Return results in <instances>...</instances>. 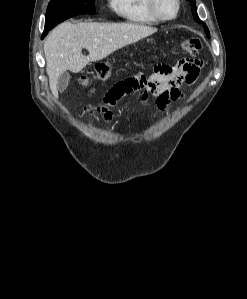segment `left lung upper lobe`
I'll list each match as a JSON object with an SVG mask.
<instances>
[{"mask_svg":"<svg viewBox=\"0 0 247 299\" xmlns=\"http://www.w3.org/2000/svg\"><path fill=\"white\" fill-rule=\"evenodd\" d=\"M190 2L191 6H192V13H193V16L195 18V20L198 22V23H202V21L199 19L198 17V14H197V10H196V5H195V0H187ZM204 28H205V31L207 33V37L209 38L210 35H209V31H208V28L204 25Z\"/></svg>","mask_w":247,"mask_h":299,"instance_id":"1","label":"left lung upper lobe"}]
</instances>
